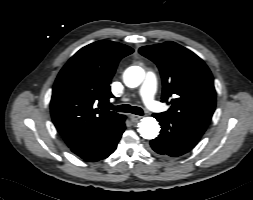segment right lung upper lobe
Segmentation results:
<instances>
[{
    "instance_id": "obj_1",
    "label": "right lung upper lobe",
    "mask_w": 253,
    "mask_h": 200,
    "mask_svg": "<svg viewBox=\"0 0 253 200\" xmlns=\"http://www.w3.org/2000/svg\"><path fill=\"white\" fill-rule=\"evenodd\" d=\"M132 52L124 44L100 40L80 49L58 74L51 116L70 148L103 134L123 117L103 104L113 97L109 84L118 62Z\"/></svg>"
}]
</instances>
